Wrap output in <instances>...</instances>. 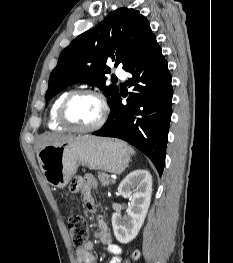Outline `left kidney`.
Here are the masks:
<instances>
[{
	"mask_svg": "<svg viewBox=\"0 0 233 263\" xmlns=\"http://www.w3.org/2000/svg\"><path fill=\"white\" fill-rule=\"evenodd\" d=\"M118 193L130 199L126 214L112 215V226L116 239L123 244L132 241L140 231L151 201L152 176L147 170H134L118 187Z\"/></svg>",
	"mask_w": 233,
	"mask_h": 263,
	"instance_id": "obj_1",
	"label": "left kidney"
}]
</instances>
